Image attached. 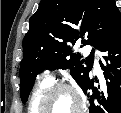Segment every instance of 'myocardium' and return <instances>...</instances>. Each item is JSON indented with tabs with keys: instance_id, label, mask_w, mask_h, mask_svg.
Segmentation results:
<instances>
[{
	"instance_id": "1",
	"label": "myocardium",
	"mask_w": 121,
	"mask_h": 113,
	"mask_svg": "<svg viewBox=\"0 0 121 113\" xmlns=\"http://www.w3.org/2000/svg\"><path fill=\"white\" fill-rule=\"evenodd\" d=\"M60 91H68L70 92L76 99V106L72 111L82 110L84 108V99L80 93V91L72 84L65 82H56L50 84L44 91L40 100L39 109H49L44 107L48 104L50 98L57 92ZM76 113V112H72Z\"/></svg>"
}]
</instances>
